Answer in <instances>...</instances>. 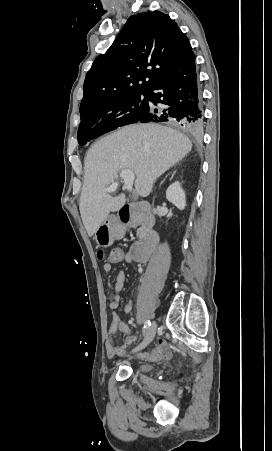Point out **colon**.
Here are the masks:
<instances>
[{
    "label": "colon",
    "mask_w": 272,
    "mask_h": 451,
    "mask_svg": "<svg viewBox=\"0 0 272 451\" xmlns=\"http://www.w3.org/2000/svg\"><path fill=\"white\" fill-rule=\"evenodd\" d=\"M97 255L99 258H113L117 261L123 255V252L120 249H99Z\"/></svg>",
    "instance_id": "colon-1"
}]
</instances>
